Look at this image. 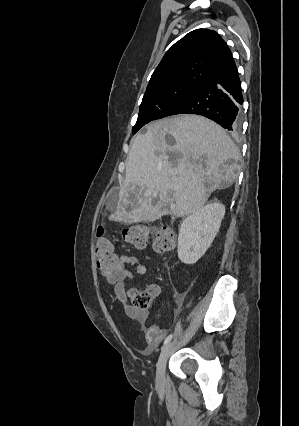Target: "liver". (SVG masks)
Here are the masks:
<instances>
[{"instance_id":"obj_1","label":"liver","mask_w":299,"mask_h":426,"mask_svg":"<svg viewBox=\"0 0 299 426\" xmlns=\"http://www.w3.org/2000/svg\"><path fill=\"white\" fill-rule=\"evenodd\" d=\"M238 158L224 129L205 117L178 115L151 123L130 143L125 181L109 219L138 223L193 214L214 190L232 185Z\"/></svg>"}]
</instances>
